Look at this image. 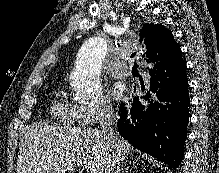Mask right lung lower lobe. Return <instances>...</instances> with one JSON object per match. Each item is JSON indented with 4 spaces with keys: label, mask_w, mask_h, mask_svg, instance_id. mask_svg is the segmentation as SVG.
Here are the masks:
<instances>
[{
    "label": "right lung lower lobe",
    "mask_w": 219,
    "mask_h": 173,
    "mask_svg": "<svg viewBox=\"0 0 219 173\" xmlns=\"http://www.w3.org/2000/svg\"><path fill=\"white\" fill-rule=\"evenodd\" d=\"M147 62L153 64L149 90L121 103L118 131L135 148L176 170L183 158L189 121L186 63L182 54H158Z\"/></svg>",
    "instance_id": "obj_1"
}]
</instances>
